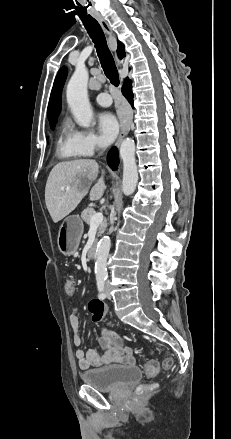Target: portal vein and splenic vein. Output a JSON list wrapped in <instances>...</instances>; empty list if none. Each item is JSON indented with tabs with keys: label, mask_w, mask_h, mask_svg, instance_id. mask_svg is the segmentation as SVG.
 I'll return each instance as SVG.
<instances>
[{
	"label": "portal vein and splenic vein",
	"mask_w": 231,
	"mask_h": 439,
	"mask_svg": "<svg viewBox=\"0 0 231 439\" xmlns=\"http://www.w3.org/2000/svg\"><path fill=\"white\" fill-rule=\"evenodd\" d=\"M104 216L102 213L94 214L90 219V227H97L103 222Z\"/></svg>",
	"instance_id": "portal-vein-and-splenic-vein-1"
}]
</instances>
